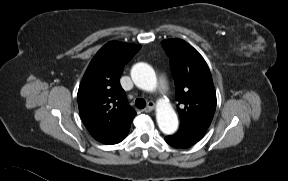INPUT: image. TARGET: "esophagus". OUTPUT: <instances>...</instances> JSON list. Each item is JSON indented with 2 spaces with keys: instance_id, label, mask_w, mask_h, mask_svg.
I'll return each instance as SVG.
<instances>
[{
  "instance_id": "obj_1",
  "label": "esophagus",
  "mask_w": 288,
  "mask_h": 181,
  "mask_svg": "<svg viewBox=\"0 0 288 181\" xmlns=\"http://www.w3.org/2000/svg\"><path fill=\"white\" fill-rule=\"evenodd\" d=\"M154 107H155V103L152 101H149L147 103L146 108L144 109V112H146V113L151 112L154 109Z\"/></svg>"
}]
</instances>
